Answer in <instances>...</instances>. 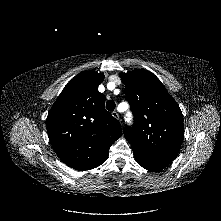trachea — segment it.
<instances>
[{
	"label": "trachea",
	"mask_w": 221,
	"mask_h": 221,
	"mask_svg": "<svg viewBox=\"0 0 221 221\" xmlns=\"http://www.w3.org/2000/svg\"><path fill=\"white\" fill-rule=\"evenodd\" d=\"M115 107H116V104H115V102H114L113 100H108V101H107V103H106V109H107L108 111H114Z\"/></svg>",
	"instance_id": "3493384b"
}]
</instances>
